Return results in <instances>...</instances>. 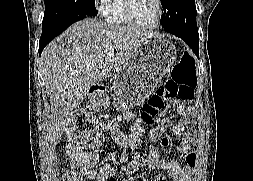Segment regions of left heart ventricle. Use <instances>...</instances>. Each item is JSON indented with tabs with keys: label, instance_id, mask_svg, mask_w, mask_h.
<instances>
[{
	"label": "left heart ventricle",
	"instance_id": "1",
	"mask_svg": "<svg viewBox=\"0 0 253 181\" xmlns=\"http://www.w3.org/2000/svg\"><path fill=\"white\" fill-rule=\"evenodd\" d=\"M156 0H132V12L137 21L151 24L157 16Z\"/></svg>",
	"mask_w": 253,
	"mask_h": 181
}]
</instances>
